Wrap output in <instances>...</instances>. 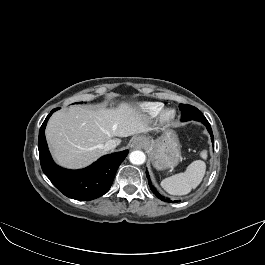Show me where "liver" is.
Segmentation results:
<instances>
[{
  "mask_svg": "<svg viewBox=\"0 0 265 265\" xmlns=\"http://www.w3.org/2000/svg\"><path fill=\"white\" fill-rule=\"evenodd\" d=\"M148 130L143 115L128 103L115 109L91 110L72 106L54 113L46 127V138L54 159L67 168L84 167L105 153L108 140Z\"/></svg>",
  "mask_w": 265,
  "mask_h": 265,
  "instance_id": "obj_1",
  "label": "liver"
}]
</instances>
